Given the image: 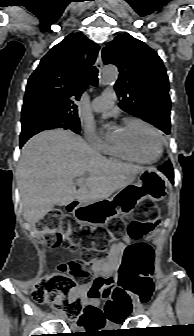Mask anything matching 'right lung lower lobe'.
I'll return each mask as SVG.
<instances>
[{
	"label": "right lung lower lobe",
	"mask_w": 194,
	"mask_h": 336,
	"mask_svg": "<svg viewBox=\"0 0 194 336\" xmlns=\"http://www.w3.org/2000/svg\"><path fill=\"white\" fill-rule=\"evenodd\" d=\"M26 141L24 142H20V148L23 146V144L25 143Z\"/></svg>",
	"instance_id": "98d812e1"
}]
</instances>
